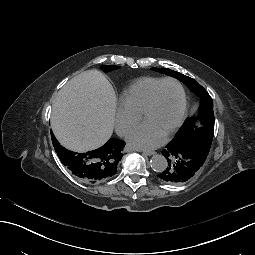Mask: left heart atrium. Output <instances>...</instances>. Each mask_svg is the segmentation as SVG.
Returning a JSON list of instances; mask_svg holds the SVG:
<instances>
[{
  "label": "left heart atrium",
  "instance_id": "obj_1",
  "mask_svg": "<svg viewBox=\"0 0 255 255\" xmlns=\"http://www.w3.org/2000/svg\"><path fill=\"white\" fill-rule=\"evenodd\" d=\"M164 138L145 124L136 126L128 135V142L136 148H154L162 144Z\"/></svg>",
  "mask_w": 255,
  "mask_h": 255
}]
</instances>
